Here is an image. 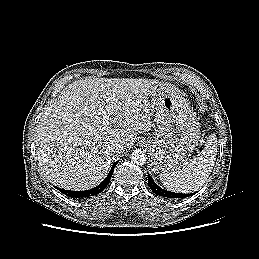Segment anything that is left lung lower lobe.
<instances>
[{
  "label": "left lung lower lobe",
  "instance_id": "0a47b994",
  "mask_svg": "<svg viewBox=\"0 0 259 259\" xmlns=\"http://www.w3.org/2000/svg\"><path fill=\"white\" fill-rule=\"evenodd\" d=\"M148 185L150 187V189L157 195L159 196H163V197H167V198H184V197H189L192 196L195 193L192 194H180V193H174V192H170L167 190H164L162 188H160L152 179V177L150 175H148Z\"/></svg>",
  "mask_w": 259,
  "mask_h": 259
}]
</instances>
